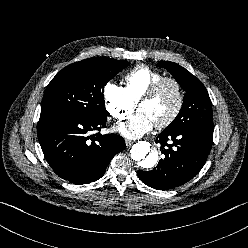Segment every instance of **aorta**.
<instances>
[{
    "label": "aorta",
    "instance_id": "obj_1",
    "mask_svg": "<svg viewBox=\"0 0 248 248\" xmlns=\"http://www.w3.org/2000/svg\"><path fill=\"white\" fill-rule=\"evenodd\" d=\"M131 158L137 161L139 166L145 169L154 167L159 159L158 151L151 149V144L147 141H139L131 148Z\"/></svg>",
    "mask_w": 248,
    "mask_h": 248
}]
</instances>
